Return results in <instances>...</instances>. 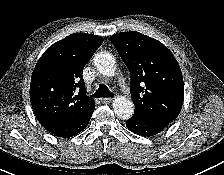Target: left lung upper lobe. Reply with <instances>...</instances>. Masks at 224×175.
I'll use <instances>...</instances> for the list:
<instances>
[{"instance_id": "left-lung-upper-lobe-1", "label": "left lung upper lobe", "mask_w": 224, "mask_h": 175, "mask_svg": "<svg viewBox=\"0 0 224 175\" xmlns=\"http://www.w3.org/2000/svg\"><path fill=\"white\" fill-rule=\"evenodd\" d=\"M111 40L130 71L134 115L176 119L183 104L184 84L169 49L136 31L115 34Z\"/></svg>"}]
</instances>
